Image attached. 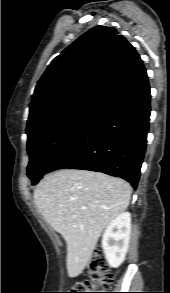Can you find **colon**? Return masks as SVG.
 Returning <instances> with one entry per match:
<instances>
[{
    "instance_id": "5ec220e1",
    "label": "colon",
    "mask_w": 170,
    "mask_h": 293,
    "mask_svg": "<svg viewBox=\"0 0 170 293\" xmlns=\"http://www.w3.org/2000/svg\"><path fill=\"white\" fill-rule=\"evenodd\" d=\"M85 275L87 280L80 281L72 288V293H103L98 289L109 286L113 281V275L106 267L104 253L101 247H96L87 264Z\"/></svg>"
}]
</instances>
